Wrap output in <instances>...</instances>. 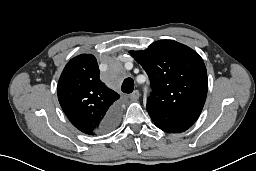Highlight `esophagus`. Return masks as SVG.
Segmentation results:
<instances>
[{"label":"esophagus","instance_id":"esophagus-1","mask_svg":"<svg viewBox=\"0 0 256 171\" xmlns=\"http://www.w3.org/2000/svg\"><path fill=\"white\" fill-rule=\"evenodd\" d=\"M140 96V93L138 90H134L130 95H129V98L131 100H137Z\"/></svg>","mask_w":256,"mask_h":171}]
</instances>
